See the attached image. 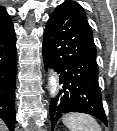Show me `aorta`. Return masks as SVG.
I'll use <instances>...</instances> for the list:
<instances>
[{
  "label": "aorta",
  "mask_w": 117,
  "mask_h": 131,
  "mask_svg": "<svg viewBox=\"0 0 117 131\" xmlns=\"http://www.w3.org/2000/svg\"><path fill=\"white\" fill-rule=\"evenodd\" d=\"M57 87H58V82L57 78L54 75H51L49 77V88H50V94L51 96H55L57 93Z\"/></svg>",
  "instance_id": "obj_1"
}]
</instances>
